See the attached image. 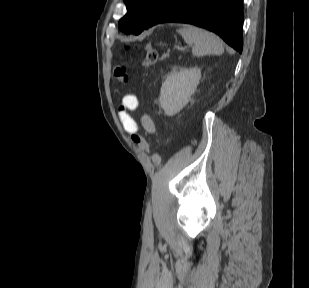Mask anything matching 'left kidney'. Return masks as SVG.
I'll return each mask as SVG.
<instances>
[{
	"label": "left kidney",
	"instance_id": "left-kidney-1",
	"mask_svg": "<svg viewBox=\"0 0 309 288\" xmlns=\"http://www.w3.org/2000/svg\"><path fill=\"white\" fill-rule=\"evenodd\" d=\"M201 78L197 67L173 70L161 87L160 105L167 116H173L183 109L195 93Z\"/></svg>",
	"mask_w": 309,
	"mask_h": 288
}]
</instances>
